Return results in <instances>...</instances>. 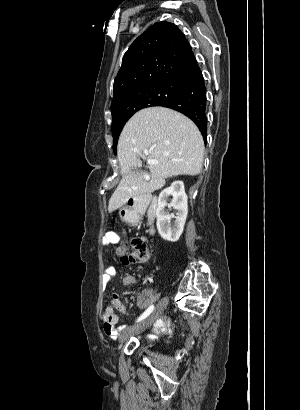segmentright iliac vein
I'll return each mask as SVG.
<instances>
[{
    "instance_id": "1",
    "label": "right iliac vein",
    "mask_w": 300,
    "mask_h": 410,
    "mask_svg": "<svg viewBox=\"0 0 300 410\" xmlns=\"http://www.w3.org/2000/svg\"><path fill=\"white\" fill-rule=\"evenodd\" d=\"M167 303H168L167 298L161 299V301L157 304L152 314L144 321L124 331V333L120 337V340L124 341L129 336L140 333L144 331L145 329L149 328L153 324V322L159 317V315L164 311V309L167 306Z\"/></svg>"
}]
</instances>
